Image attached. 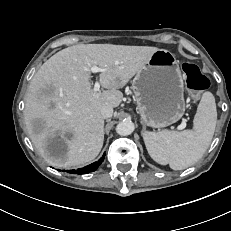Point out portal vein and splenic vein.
<instances>
[{
    "instance_id": "1",
    "label": "portal vein and splenic vein",
    "mask_w": 231,
    "mask_h": 231,
    "mask_svg": "<svg viewBox=\"0 0 231 231\" xmlns=\"http://www.w3.org/2000/svg\"><path fill=\"white\" fill-rule=\"evenodd\" d=\"M90 71L95 74L97 72H104V71H106V69L99 68L98 66H92ZM99 89H100V83L98 81H96L94 84L93 90L95 92H97V91H99Z\"/></svg>"
}]
</instances>
